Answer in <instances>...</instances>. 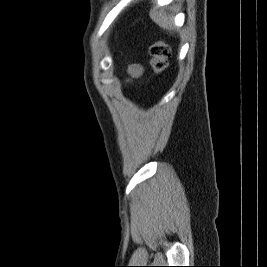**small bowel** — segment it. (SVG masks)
Here are the masks:
<instances>
[{"label": "small bowel", "mask_w": 267, "mask_h": 267, "mask_svg": "<svg viewBox=\"0 0 267 267\" xmlns=\"http://www.w3.org/2000/svg\"><path fill=\"white\" fill-rule=\"evenodd\" d=\"M128 72L132 77H137V76L141 75L142 67L138 64H133V65L129 66Z\"/></svg>", "instance_id": "small-bowel-1"}]
</instances>
